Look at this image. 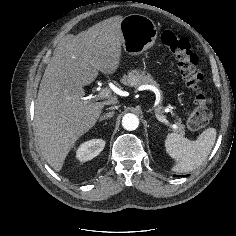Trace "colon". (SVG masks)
I'll list each match as a JSON object with an SVG mask.
<instances>
[{"mask_svg": "<svg viewBox=\"0 0 236 236\" xmlns=\"http://www.w3.org/2000/svg\"><path fill=\"white\" fill-rule=\"evenodd\" d=\"M161 40L174 55L185 85L194 93V108L188 118V128L197 131L206 126L211 118V98L203 88V75L199 71L198 57L184 37L165 31Z\"/></svg>", "mask_w": 236, "mask_h": 236, "instance_id": "5ec220e1", "label": "colon"}]
</instances>
